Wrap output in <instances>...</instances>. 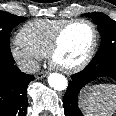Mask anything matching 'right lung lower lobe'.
I'll use <instances>...</instances> for the list:
<instances>
[{"mask_svg":"<svg viewBox=\"0 0 116 116\" xmlns=\"http://www.w3.org/2000/svg\"><path fill=\"white\" fill-rule=\"evenodd\" d=\"M33 75L22 73L14 60L0 67V116H25L28 107L27 86Z\"/></svg>","mask_w":116,"mask_h":116,"instance_id":"right-lung-lower-lobe-1","label":"right lung lower lobe"}]
</instances>
